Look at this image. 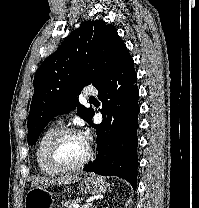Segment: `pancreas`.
Segmentation results:
<instances>
[{"label": "pancreas", "instance_id": "obj_1", "mask_svg": "<svg viewBox=\"0 0 199 208\" xmlns=\"http://www.w3.org/2000/svg\"><path fill=\"white\" fill-rule=\"evenodd\" d=\"M76 203L75 200H68L65 202H62V207L61 208H74V204Z\"/></svg>", "mask_w": 199, "mask_h": 208}]
</instances>
